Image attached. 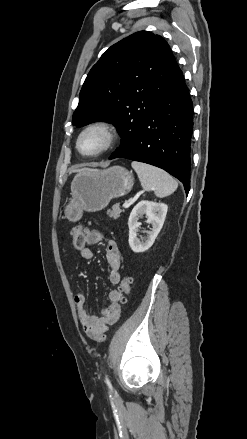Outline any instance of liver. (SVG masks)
I'll list each match as a JSON object with an SVG mask.
<instances>
[{
  "label": "liver",
  "mask_w": 247,
  "mask_h": 439,
  "mask_svg": "<svg viewBox=\"0 0 247 439\" xmlns=\"http://www.w3.org/2000/svg\"><path fill=\"white\" fill-rule=\"evenodd\" d=\"M88 170H91V169H88V168H82V169L74 170V172H78V173H80V172H84V171H88Z\"/></svg>",
  "instance_id": "6515ba94"
}]
</instances>
